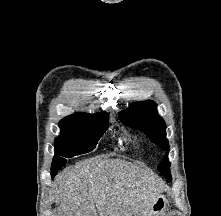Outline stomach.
<instances>
[{
    "label": "stomach",
    "instance_id": "obj_1",
    "mask_svg": "<svg viewBox=\"0 0 221 216\" xmlns=\"http://www.w3.org/2000/svg\"><path fill=\"white\" fill-rule=\"evenodd\" d=\"M167 203L168 201L164 195H158L151 205L148 216H160L163 214L167 209Z\"/></svg>",
    "mask_w": 221,
    "mask_h": 216
}]
</instances>
